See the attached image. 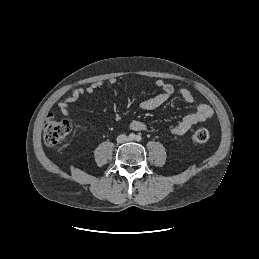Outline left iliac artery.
I'll return each mask as SVG.
<instances>
[{"mask_svg": "<svg viewBox=\"0 0 259 259\" xmlns=\"http://www.w3.org/2000/svg\"><path fill=\"white\" fill-rule=\"evenodd\" d=\"M136 140H137V141H141V140H142V137H141L140 135H137V136H136Z\"/></svg>", "mask_w": 259, "mask_h": 259, "instance_id": "44dca946", "label": "left iliac artery"}]
</instances>
